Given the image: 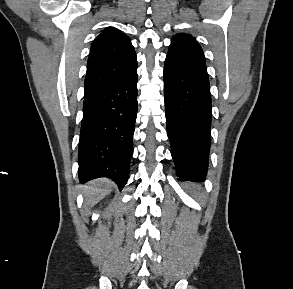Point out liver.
<instances>
[{"label":"liver","instance_id":"obj_1","mask_svg":"<svg viewBox=\"0 0 293 289\" xmlns=\"http://www.w3.org/2000/svg\"><path fill=\"white\" fill-rule=\"evenodd\" d=\"M113 186V182L104 178L94 180L88 185H85L83 187L85 204L87 206H93L108 195L112 191Z\"/></svg>","mask_w":293,"mask_h":289}]
</instances>
